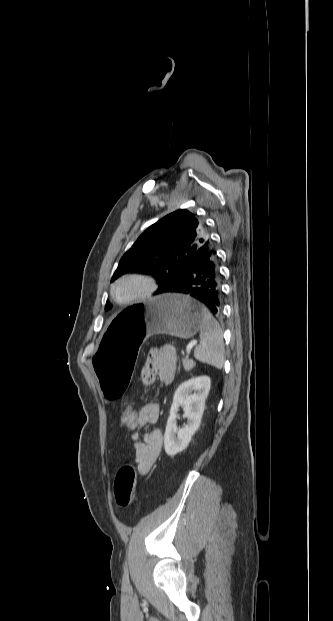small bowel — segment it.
Instances as JSON below:
<instances>
[{"instance_id": "c3829d8e", "label": "small bowel", "mask_w": 333, "mask_h": 621, "mask_svg": "<svg viewBox=\"0 0 333 621\" xmlns=\"http://www.w3.org/2000/svg\"><path fill=\"white\" fill-rule=\"evenodd\" d=\"M176 372V352L172 347L165 346L150 350L141 377L145 384H151L155 379L164 384H169L174 380ZM158 417L159 405L155 402H149L139 410L138 423L131 428L135 461L141 475L149 473L162 449L163 435L160 430L154 429L142 433V429L154 424Z\"/></svg>"}]
</instances>
